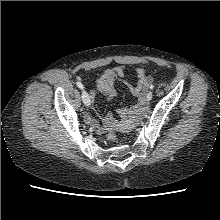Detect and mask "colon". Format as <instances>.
<instances>
[{
  "instance_id": "1",
  "label": "colon",
  "mask_w": 220,
  "mask_h": 220,
  "mask_svg": "<svg viewBox=\"0 0 220 220\" xmlns=\"http://www.w3.org/2000/svg\"><path fill=\"white\" fill-rule=\"evenodd\" d=\"M116 138H117V136H116V133L114 132V130H110L108 133H107V139L109 140V141H115L116 140Z\"/></svg>"
}]
</instances>
